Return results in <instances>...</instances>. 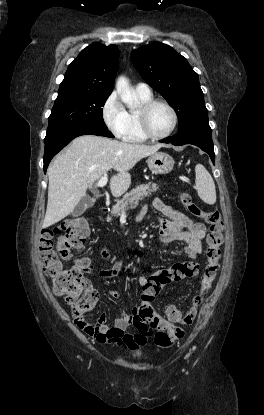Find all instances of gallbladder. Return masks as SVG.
Wrapping results in <instances>:
<instances>
[{"label":"gallbladder","mask_w":264,"mask_h":415,"mask_svg":"<svg viewBox=\"0 0 264 415\" xmlns=\"http://www.w3.org/2000/svg\"><path fill=\"white\" fill-rule=\"evenodd\" d=\"M94 204V201L91 197L89 196H84L80 202L76 205V207L74 208L73 212H72V216L74 217H78L81 214H83L85 212V210L89 207H92Z\"/></svg>","instance_id":"obj_1"}]
</instances>
